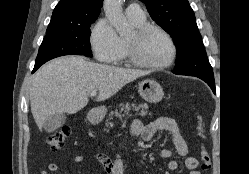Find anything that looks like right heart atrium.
I'll use <instances>...</instances> for the list:
<instances>
[{
	"instance_id": "1",
	"label": "right heart atrium",
	"mask_w": 249,
	"mask_h": 174,
	"mask_svg": "<svg viewBox=\"0 0 249 174\" xmlns=\"http://www.w3.org/2000/svg\"><path fill=\"white\" fill-rule=\"evenodd\" d=\"M90 44L95 58L105 63H115L123 53L122 42L107 18L99 19L90 34Z\"/></svg>"
}]
</instances>
